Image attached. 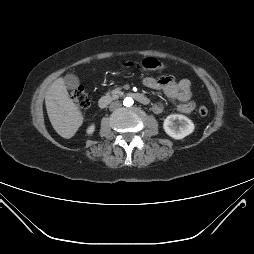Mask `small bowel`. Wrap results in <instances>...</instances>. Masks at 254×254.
<instances>
[{
  "mask_svg": "<svg viewBox=\"0 0 254 254\" xmlns=\"http://www.w3.org/2000/svg\"><path fill=\"white\" fill-rule=\"evenodd\" d=\"M143 84L150 89L163 91L171 100H177L179 102L177 109L181 113L189 114L195 109V103L192 101L191 82L186 78L176 80L172 75H163L158 78L146 76L143 79ZM163 109L161 103H155L152 106V110L156 114H160Z\"/></svg>",
  "mask_w": 254,
  "mask_h": 254,
  "instance_id": "c3829d8e",
  "label": "small bowel"
}]
</instances>
